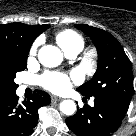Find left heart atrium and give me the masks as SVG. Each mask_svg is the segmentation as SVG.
<instances>
[{
  "instance_id": "left-heart-atrium-1",
  "label": "left heart atrium",
  "mask_w": 136,
  "mask_h": 136,
  "mask_svg": "<svg viewBox=\"0 0 136 136\" xmlns=\"http://www.w3.org/2000/svg\"><path fill=\"white\" fill-rule=\"evenodd\" d=\"M76 74L67 75L59 72H47L40 77V84L47 90L55 93L67 91L72 81H77Z\"/></svg>"
}]
</instances>
